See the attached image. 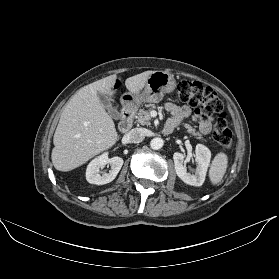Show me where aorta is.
Wrapping results in <instances>:
<instances>
[{
  "mask_svg": "<svg viewBox=\"0 0 279 279\" xmlns=\"http://www.w3.org/2000/svg\"><path fill=\"white\" fill-rule=\"evenodd\" d=\"M164 145V141L162 138H153L151 141H150V147L153 149V150H159L163 147Z\"/></svg>",
  "mask_w": 279,
  "mask_h": 279,
  "instance_id": "762f6f07",
  "label": "aorta"
}]
</instances>
